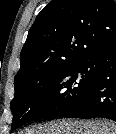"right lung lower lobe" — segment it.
<instances>
[{
    "mask_svg": "<svg viewBox=\"0 0 116 134\" xmlns=\"http://www.w3.org/2000/svg\"><path fill=\"white\" fill-rule=\"evenodd\" d=\"M95 63L98 71L93 82L76 103L56 118H107L116 121V48L100 55Z\"/></svg>",
    "mask_w": 116,
    "mask_h": 134,
    "instance_id": "98d812e1",
    "label": "right lung lower lobe"
}]
</instances>
